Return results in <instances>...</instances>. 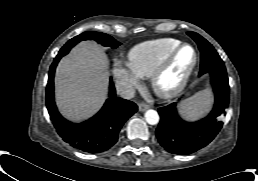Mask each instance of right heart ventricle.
<instances>
[{
	"label": "right heart ventricle",
	"instance_id": "right-heart-ventricle-1",
	"mask_svg": "<svg viewBox=\"0 0 258 181\" xmlns=\"http://www.w3.org/2000/svg\"><path fill=\"white\" fill-rule=\"evenodd\" d=\"M181 42L160 38L135 45L128 53V67L140 78L151 77L157 65Z\"/></svg>",
	"mask_w": 258,
	"mask_h": 181
}]
</instances>
